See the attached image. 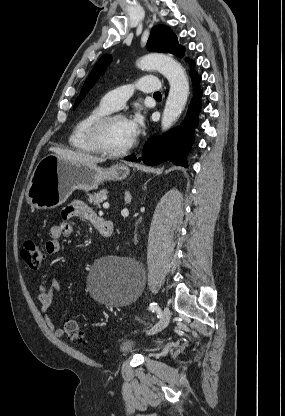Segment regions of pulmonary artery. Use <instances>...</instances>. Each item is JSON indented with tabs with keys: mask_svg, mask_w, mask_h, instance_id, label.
Segmentation results:
<instances>
[{
	"mask_svg": "<svg viewBox=\"0 0 285 416\" xmlns=\"http://www.w3.org/2000/svg\"><path fill=\"white\" fill-rule=\"evenodd\" d=\"M138 82V87L141 91L152 92L153 94L157 93L156 89L159 87V83L154 76H143L138 80ZM130 94V87H112L111 91L103 96L102 102L109 109L116 110L121 107L122 102H127L130 100Z\"/></svg>",
	"mask_w": 285,
	"mask_h": 416,
	"instance_id": "1",
	"label": "pulmonary artery"
}]
</instances>
